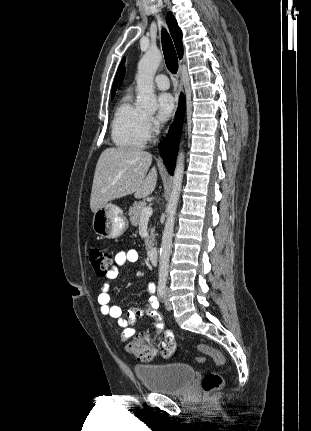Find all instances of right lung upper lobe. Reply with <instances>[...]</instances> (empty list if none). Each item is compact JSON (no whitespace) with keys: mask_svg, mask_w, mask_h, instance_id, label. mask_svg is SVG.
Returning a JSON list of instances; mask_svg holds the SVG:
<instances>
[{"mask_svg":"<svg viewBox=\"0 0 311 431\" xmlns=\"http://www.w3.org/2000/svg\"><path fill=\"white\" fill-rule=\"evenodd\" d=\"M166 21H167L171 36L173 38L178 56H179V58H182V56H183L182 32H181L180 28L178 27L177 21H176L175 17L173 16L172 12L167 13ZM124 62H125V59L122 60L120 66L118 68V72L116 74L113 88H112V97L115 94V90H116L118 79H119L120 70H121Z\"/></svg>","mask_w":311,"mask_h":431,"instance_id":"obj_1","label":"right lung upper lobe"}]
</instances>
